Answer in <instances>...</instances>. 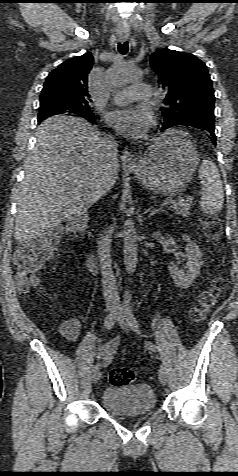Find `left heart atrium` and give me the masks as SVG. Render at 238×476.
Returning <instances> with one entry per match:
<instances>
[{"instance_id":"left-heart-atrium-1","label":"left heart atrium","mask_w":238,"mask_h":476,"mask_svg":"<svg viewBox=\"0 0 238 476\" xmlns=\"http://www.w3.org/2000/svg\"><path fill=\"white\" fill-rule=\"evenodd\" d=\"M106 122L118 133L138 139L145 135L153 118L147 108L137 106L109 112L106 115Z\"/></svg>"}]
</instances>
